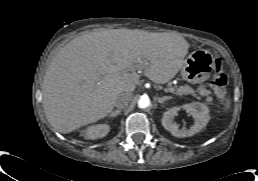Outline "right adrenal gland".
I'll list each match as a JSON object with an SVG mask.
<instances>
[{
    "label": "right adrenal gland",
    "instance_id": "right-adrenal-gland-1",
    "mask_svg": "<svg viewBox=\"0 0 258 181\" xmlns=\"http://www.w3.org/2000/svg\"><path fill=\"white\" fill-rule=\"evenodd\" d=\"M121 113V110L117 109L114 111H111V113L108 115V117H116Z\"/></svg>",
    "mask_w": 258,
    "mask_h": 181
}]
</instances>
